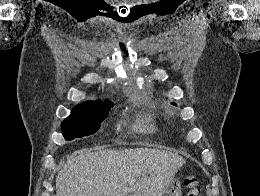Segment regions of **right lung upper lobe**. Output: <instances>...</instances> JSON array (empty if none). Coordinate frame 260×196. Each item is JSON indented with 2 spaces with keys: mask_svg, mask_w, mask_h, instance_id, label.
Returning <instances> with one entry per match:
<instances>
[{
  "mask_svg": "<svg viewBox=\"0 0 260 196\" xmlns=\"http://www.w3.org/2000/svg\"><path fill=\"white\" fill-rule=\"evenodd\" d=\"M113 106V104L109 101L102 102L100 100L97 101H89L86 103H83L81 105H78L76 110H102V109H110Z\"/></svg>",
  "mask_w": 260,
  "mask_h": 196,
  "instance_id": "right-lung-upper-lobe-1",
  "label": "right lung upper lobe"
}]
</instances>
